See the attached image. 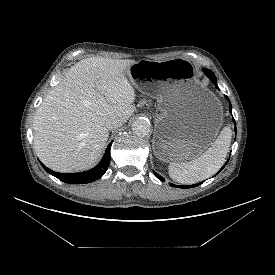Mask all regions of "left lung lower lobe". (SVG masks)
<instances>
[{
	"instance_id": "obj_1",
	"label": "left lung lower lobe",
	"mask_w": 275,
	"mask_h": 275,
	"mask_svg": "<svg viewBox=\"0 0 275 275\" xmlns=\"http://www.w3.org/2000/svg\"><path fill=\"white\" fill-rule=\"evenodd\" d=\"M206 73H207L208 77L210 78V80L214 83L215 87L218 88V86H217V79H216L214 73H212V72H211L210 70H208V69L206 70ZM225 97H226V99L229 101L228 97H227V96H225ZM229 102H230V101H229ZM229 110H230V113L232 114V106H231V104H230ZM233 120H234V119H233ZM235 131H236V126H235ZM227 162H228V161H227ZM227 162L224 164V166L221 168V170L225 167V165L227 164ZM154 174H155L156 177H157L158 179H160L161 181H165V179H164L163 177H161L159 174H157L156 172H154ZM201 183H202V182H201ZM201 183H197V184L189 185V186H177V185H174V184H170V185H171V186H174V187H179V188H191V187L198 186V185H200Z\"/></svg>"
}]
</instances>
